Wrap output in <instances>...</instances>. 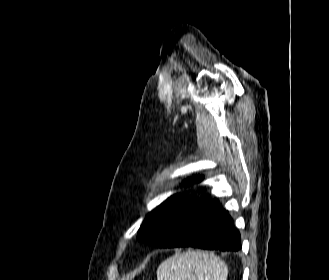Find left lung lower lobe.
<instances>
[{
  "label": "left lung lower lobe",
  "instance_id": "left-lung-lower-lobe-1",
  "mask_svg": "<svg viewBox=\"0 0 329 280\" xmlns=\"http://www.w3.org/2000/svg\"><path fill=\"white\" fill-rule=\"evenodd\" d=\"M161 234L169 236L164 247H197L238 251L240 234L228 212L209 196L174 204Z\"/></svg>",
  "mask_w": 329,
  "mask_h": 280
}]
</instances>
